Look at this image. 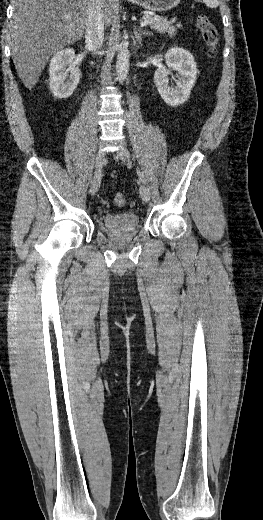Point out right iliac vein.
<instances>
[{"mask_svg": "<svg viewBox=\"0 0 263 520\" xmlns=\"http://www.w3.org/2000/svg\"><path fill=\"white\" fill-rule=\"evenodd\" d=\"M105 153L103 150H98L95 157V171L91 181V194L95 195L101 183L102 167L104 164Z\"/></svg>", "mask_w": 263, "mask_h": 520, "instance_id": "right-iliac-vein-1", "label": "right iliac vein"}]
</instances>
